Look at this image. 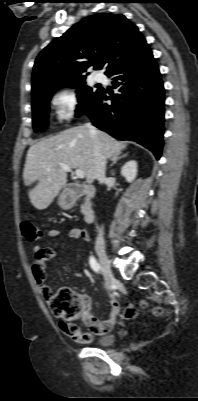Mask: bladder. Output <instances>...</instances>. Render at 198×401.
Returning <instances> with one entry per match:
<instances>
[{
  "instance_id": "bladder-1",
  "label": "bladder",
  "mask_w": 198,
  "mask_h": 401,
  "mask_svg": "<svg viewBox=\"0 0 198 401\" xmlns=\"http://www.w3.org/2000/svg\"><path fill=\"white\" fill-rule=\"evenodd\" d=\"M115 338L112 334H102L97 338L96 344L100 347H109L114 344Z\"/></svg>"
}]
</instances>
